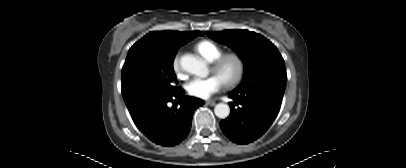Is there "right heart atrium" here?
<instances>
[{
  "label": "right heart atrium",
  "mask_w": 406,
  "mask_h": 168,
  "mask_svg": "<svg viewBox=\"0 0 406 168\" xmlns=\"http://www.w3.org/2000/svg\"><path fill=\"white\" fill-rule=\"evenodd\" d=\"M172 67L178 77L180 78L184 77V70L181 64V58L179 53L174 56L172 60Z\"/></svg>",
  "instance_id": "obj_1"
}]
</instances>
